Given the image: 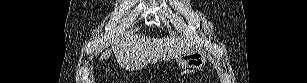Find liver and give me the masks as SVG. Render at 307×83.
Returning a JSON list of instances; mask_svg holds the SVG:
<instances>
[{
	"label": "liver",
	"instance_id": "liver-1",
	"mask_svg": "<svg viewBox=\"0 0 307 83\" xmlns=\"http://www.w3.org/2000/svg\"><path fill=\"white\" fill-rule=\"evenodd\" d=\"M112 51L121 67L137 69L159 60L178 59L187 50L173 39L147 38L134 35L114 42L111 49L101 54L100 61L111 56Z\"/></svg>",
	"mask_w": 307,
	"mask_h": 83
}]
</instances>
